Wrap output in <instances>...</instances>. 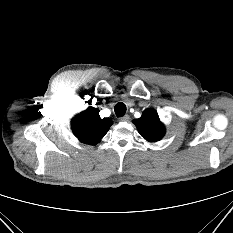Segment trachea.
I'll use <instances>...</instances> for the list:
<instances>
[{
  "label": "trachea",
  "instance_id": "1",
  "mask_svg": "<svg viewBox=\"0 0 233 233\" xmlns=\"http://www.w3.org/2000/svg\"><path fill=\"white\" fill-rule=\"evenodd\" d=\"M114 111L117 117H122L126 113V106L124 103L119 102L115 105Z\"/></svg>",
  "mask_w": 233,
  "mask_h": 233
}]
</instances>
